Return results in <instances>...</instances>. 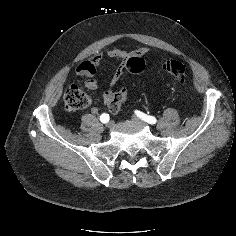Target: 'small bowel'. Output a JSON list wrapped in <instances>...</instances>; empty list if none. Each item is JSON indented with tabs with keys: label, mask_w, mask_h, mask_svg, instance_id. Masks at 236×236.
I'll return each instance as SVG.
<instances>
[{
	"label": "small bowel",
	"mask_w": 236,
	"mask_h": 236,
	"mask_svg": "<svg viewBox=\"0 0 236 236\" xmlns=\"http://www.w3.org/2000/svg\"><path fill=\"white\" fill-rule=\"evenodd\" d=\"M148 52L149 50L147 48H138L132 51H127L120 48L108 49L106 51L107 55L118 62V66L111 79V87H114L120 80L126 69L127 62L131 57L140 58L145 56ZM102 57V53H96L90 60L81 62L75 69L76 74L87 77L85 86L89 90H96L98 87L97 81L94 79V75L97 72V68L101 63ZM112 96L113 91L111 89L106 90L103 94L104 103L108 104ZM90 112L92 114H97L98 108L96 106H91Z\"/></svg>",
	"instance_id": "obj_1"
}]
</instances>
